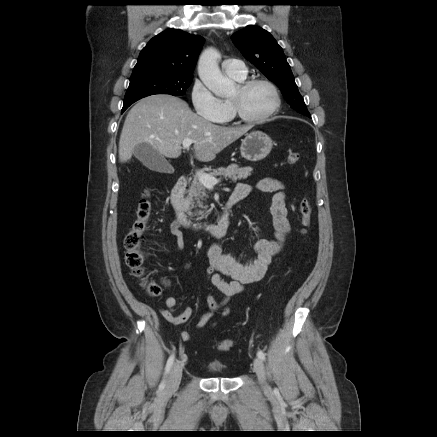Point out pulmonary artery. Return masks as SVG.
Returning a JSON list of instances; mask_svg holds the SVG:
<instances>
[{"mask_svg":"<svg viewBox=\"0 0 437 437\" xmlns=\"http://www.w3.org/2000/svg\"><path fill=\"white\" fill-rule=\"evenodd\" d=\"M222 69L227 75L236 79H243L247 74L244 63L237 59L224 60L222 63Z\"/></svg>","mask_w":437,"mask_h":437,"instance_id":"1","label":"pulmonary artery"}]
</instances>
